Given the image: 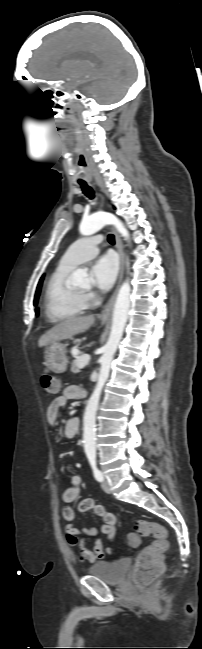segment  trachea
I'll use <instances>...</instances> for the list:
<instances>
[{
  "instance_id": "1",
  "label": "trachea",
  "mask_w": 202,
  "mask_h": 649,
  "mask_svg": "<svg viewBox=\"0 0 202 649\" xmlns=\"http://www.w3.org/2000/svg\"><path fill=\"white\" fill-rule=\"evenodd\" d=\"M79 184H80V187H81L83 193H84V194H85L89 199H94L95 195H94V191H93V189H92L90 186H88L87 183H85V182H81V183H79ZM108 242H109L110 244H112V245L115 244V238H114V235H112V234L108 235Z\"/></svg>"
}]
</instances>
